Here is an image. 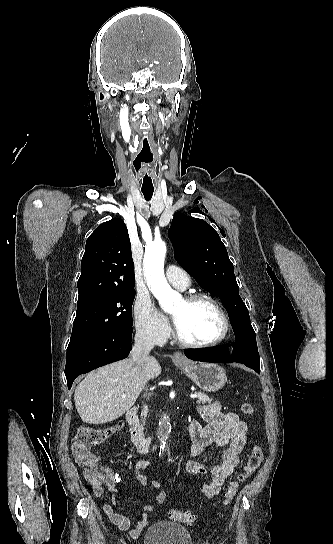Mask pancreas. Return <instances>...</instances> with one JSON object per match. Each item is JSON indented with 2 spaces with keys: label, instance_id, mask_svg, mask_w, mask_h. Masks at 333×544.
<instances>
[{
  "label": "pancreas",
  "instance_id": "pancreas-1",
  "mask_svg": "<svg viewBox=\"0 0 333 544\" xmlns=\"http://www.w3.org/2000/svg\"><path fill=\"white\" fill-rule=\"evenodd\" d=\"M195 394L198 395V399H197V403H202V404H206V403H211L212 402V399L209 398L205 393L201 392V391H198L196 392ZM147 413H148V408H144L141 412V416L145 419L146 416H147ZM143 425H144V422H143ZM142 425V426H143Z\"/></svg>",
  "mask_w": 333,
  "mask_h": 544
}]
</instances>
